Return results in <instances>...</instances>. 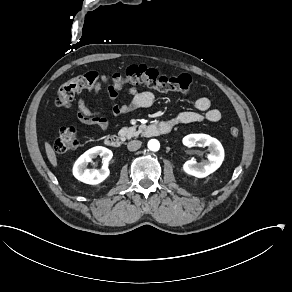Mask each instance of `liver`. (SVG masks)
I'll return each instance as SVG.
<instances>
[{"label": "liver", "mask_w": 292, "mask_h": 292, "mask_svg": "<svg viewBox=\"0 0 292 292\" xmlns=\"http://www.w3.org/2000/svg\"><path fill=\"white\" fill-rule=\"evenodd\" d=\"M44 146H45V152L50 164L52 165L53 168L56 169L58 166V162H57V156H56L54 148L51 146V144L48 141L44 142Z\"/></svg>", "instance_id": "6515ba94"}]
</instances>
